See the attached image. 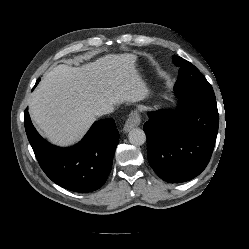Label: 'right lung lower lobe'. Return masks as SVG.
I'll return each instance as SVG.
<instances>
[{"instance_id":"1","label":"right lung lower lobe","mask_w":249,"mask_h":249,"mask_svg":"<svg viewBox=\"0 0 249 249\" xmlns=\"http://www.w3.org/2000/svg\"><path fill=\"white\" fill-rule=\"evenodd\" d=\"M24 125L42 170L53 182L75 192L95 191L106 182L119 141L113 119L95 122L84 138L70 148H60L44 140L32 125L27 109Z\"/></svg>"}]
</instances>
